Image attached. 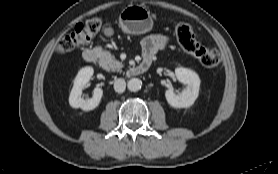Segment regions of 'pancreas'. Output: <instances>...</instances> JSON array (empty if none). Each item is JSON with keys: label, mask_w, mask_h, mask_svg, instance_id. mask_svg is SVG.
Masks as SVG:
<instances>
[{"label": "pancreas", "mask_w": 278, "mask_h": 174, "mask_svg": "<svg viewBox=\"0 0 278 174\" xmlns=\"http://www.w3.org/2000/svg\"><path fill=\"white\" fill-rule=\"evenodd\" d=\"M100 65L107 71H120L123 67V64L108 51L100 52Z\"/></svg>", "instance_id": "cf45deb5"}]
</instances>
